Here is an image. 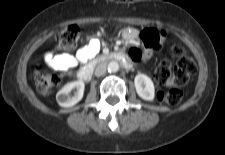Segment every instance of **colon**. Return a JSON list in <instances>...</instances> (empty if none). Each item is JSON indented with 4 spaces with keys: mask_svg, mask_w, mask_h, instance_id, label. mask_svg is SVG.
Masks as SVG:
<instances>
[{
    "mask_svg": "<svg viewBox=\"0 0 225 155\" xmlns=\"http://www.w3.org/2000/svg\"><path fill=\"white\" fill-rule=\"evenodd\" d=\"M81 30L78 26H69L60 31L56 36L57 47L61 50H73L78 43ZM165 38V34L157 29L148 28L142 31L140 39L147 49L158 47ZM172 54L177 57L176 63L170 60H163L159 63L155 77L159 84L167 86L168 89L157 93V99L167 105H177L182 99L180 87L188 83L190 77L196 72L195 61L188 57L181 45H174ZM129 55L133 62L140 63L144 59V54L140 47L133 46L129 50ZM60 82L57 75L37 72L36 87L42 94L49 93Z\"/></svg>",
    "mask_w": 225,
    "mask_h": 155,
    "instance_id": "5ec220e1",
    "label": "colon"
}]
</instances>
